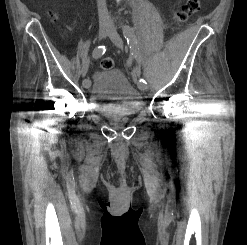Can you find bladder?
Wrapping results in <instances>:
<instances>
[{
    "mask_svg": "<svg viewBox=\"0 0 247 245\" xmlns=\"http://www.w3.org/2000/svg\"><path fill=\"white\" fill-rule=\"evenodd\" d=\"M89 101L104 116L135 114L141 108V95L119 69L95 73L89 90Z\"/></svg>",
    "mask_w": 247,
    "mask_h": 245,
    "instance_id": "bladder-1",
    "label": "bladder"
}]
</instances>
